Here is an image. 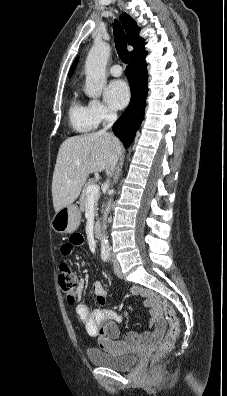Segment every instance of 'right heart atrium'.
I'll return each instance as SVG.
<instances>
[{"instance_id": "1", "label": "right heart atrium", "mask_w": 227, "mask_h": 396, "mask_svg": "<svg viewBox=\"0 0 227 396\" xmlns=\"http://www.w3.org/2000/svg\"><path fill=\"white\" fill-rule=\"evenodd\" d=\"M87 106L91 117L97 124L109 122L115 117V112L99 100H90Z\"/></svg>"}]
</instances>
